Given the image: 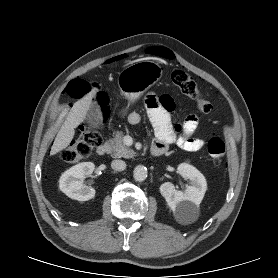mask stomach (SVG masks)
<instances>
[{
	"instance_id": "obj_1",
	"label": "stomach",
	"mask_w": 278,
	"mask_h": 278,
	"mask_svg": "<svg viewBox=\"0 0 278 278\" xmlns=\"http://www.w3.org/2000/svg\"><path fill=\"white\" fill-rule=\"evenodd\" d=\"M161 66L151 60H139L123 69L118 75L121 93L130 101H137L162 77Z\"/></svg>"
}]
</instances>
